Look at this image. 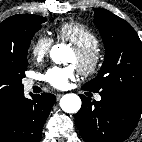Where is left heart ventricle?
Listing matches in <instances>:
<instances>
[{
    "instance_id": "obj_1",
    "label": "left heart ventricle",
    "mask_w": 142,
    "mask_h": 142,
    "mask_svg": "<svg viewBox=\"0 0 142 142\" xmlns=\"http://www.w3.org/2000/svg\"><path fill=\"white\" fill-rule=\"evenodd\" d=\"M69 61L72 62V63H75V64L77 63V57H76V54H75V53H73V54L71 55Z\"/></svg>"
}]
</instances>
